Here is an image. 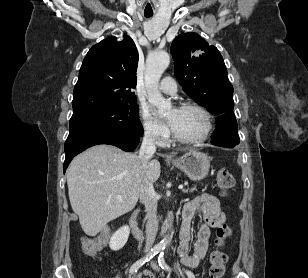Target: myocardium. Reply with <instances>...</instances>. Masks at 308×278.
Segmentation results:
<instances>
[{"mask_svg":"<svg viewBox=\"0 0 308 278\" xmlns=\"http://www.w3.org/2000/svg\"><path fill=\"white\" fill-rule=\"evenodd\" d=\"M179 109H194L199 111L205 118L206 127L203 134L196 138H187L177 134L174 130H172L173 138L183 144H196L204 142L211 134L213 129V118L211 113L202 105L194 102H186L183 103Z\"/></svg>","mask_w":308,"mask_h":278,"instance_id":"f54148a6","label":"myocardium"}]
</instances>
